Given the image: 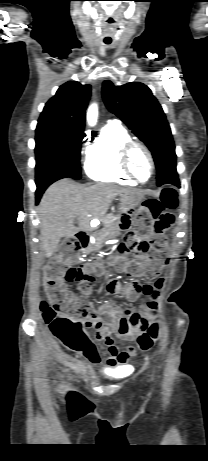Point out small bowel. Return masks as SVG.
<instances>
[{
	"label": "small bowel",
	"mask_w": 208,
	"mask_h": 461,
	"mask_svg": "<svg viewBox=\"0 0 208 461\" xmlns=\"http://www.w3.org/2000/svg\"><path fill=\"white\" fill-rule=\"evenodd\" d=\"M128 214H121V222H130L132 217L137 215V210L130 206L125 208ZM134 256L148 263L149 259L145 253L134 252ZM163 279L157 280L153 285L150 283L141 284L136 280L128 283H121L117 280L107 282L105 289L109 294L118 295L128 301H135L140 295H146L151 298L149 302L144 304L138 312L127 311L122 313L113 302L108 301L101 304L94 314L88 318L82 319V323L86 328L95 330L94 339L103 341L105 347L99 349L92 341L89 346L79 351L89 362L97 364L102 357L106 358V364L109 367L118 366L121 372H125L129 368V360L134 356L135 352L132 347L120 349L115 345L113 336L125 341H134L138 339L145 322H151L157 314L156 297L158 290L162 288Z\"/></svg>",
	"instance_id": "obj_1"
}]
</instances>
